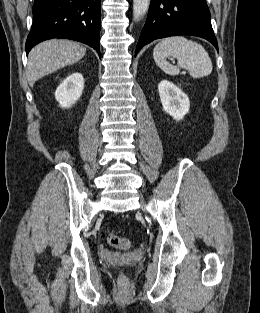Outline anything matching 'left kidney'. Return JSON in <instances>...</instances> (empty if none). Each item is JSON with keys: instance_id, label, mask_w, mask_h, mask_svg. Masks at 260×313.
<instances>
[{"instance_id": "left-kidney-1", "label": "left kidney", "mask_w": 260, "mask_h": 313, "mask_svg": "<svg viewBox=\"0 0 260 313\" xmlns=\"http://www.w3.org/2000/svg\"><path fill=\"white\" fill-rule=\"evenodd\" d=\"M158 91L163 110L175 120H182L190 108L187 95L167 80H162L159 83Z\"/></svg>"}]
</instances>
